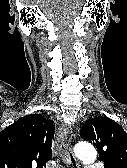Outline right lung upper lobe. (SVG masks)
I'll return each mask as SVG.
<instances>
[{"instance_id": "obj_1", "label": "right lung upper lobe", "mask_w": 127, "mask_h": 168, "mask_svg": "<svg viewBox=\"0 0 127 168\" xmlns=\"http://www.w3.org/2000/svg\"><path fill=\"white\" fill-rule=\"evenodd\" d=\"M55 124L41 114L19 118L0 132V168H45Z\"/></svg>"}]
</instances>
